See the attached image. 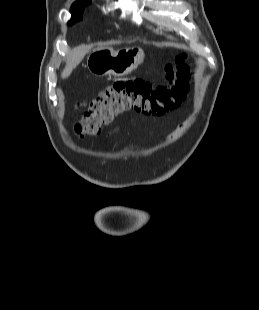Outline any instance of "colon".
<instances>
[{
    "instance_id": "obj_1",
    "label": "colon",
    "mask_w": 259,
    "mask_h": 310,
    "mask_svg": "<svg viewBox=\"0 0 259 310\" xmlns=\"http://www.w3.org/2000/svg\"><path fill=\"white\" fill-rule=\"evenodd\" d=\"M164 71L167 85L155 87L142 79H126L106 87L91 101L76 125V131L96 135L103 126L126 111L160 115L177 107L189 88V68L184 64V58L177 56L165 65Z\"/></svg>"
}]
</instances>
